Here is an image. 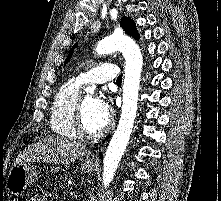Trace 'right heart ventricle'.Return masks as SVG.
<instances>
[{"mask_svg":"<svg viewBox=\"0 0 221 201\" xmlns=\"http://www.w3.org/2000/svg\"><path fill=\"white\" fill-rule=\"evenodd\" d=\"M79 85L69 82L63 85L56 93L51 106L50 127L59 137L73 139L77 137L74 128V115L78 96Z\"/></svg>","mask_w":221,"mask_h":201,"instance_id":"obj_1","label":"right heart ventricle"}]
</instances>
